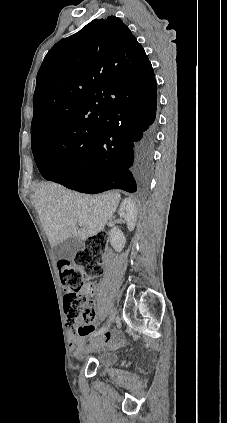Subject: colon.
Masks as SVG:
<instances>
[{
  "label": "colon",
  "mask_w": 227,
  "mask_h": 423,
  "mask_svg": "<svg viewBox=\"0 0 227 423\" xmlns=\"http://www.w3.org/2000/svg\"><path fill=\"white\" fill-rule=\"evenodd\" d=\"M108 238L104 232L91 237L83 250L72 260L58 263L59 273L65 292L64 311L69 319V327L74 334L82 330L94 318V310L88 299L89 284L86 280L102 273V263Z\"/></svg>",
  "instance_id": "1"
}]
</instances>
